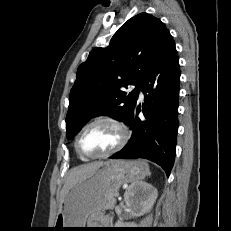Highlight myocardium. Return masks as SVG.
Here are the masks:
<instances>
[{
  "label": "myocardium",
  "mask_w": 231,
  "mask_h": 231,
  "mask_svg": "<svg viewBox=\"0 0 231 231\" xmlns=\"http://www.w3.org/2000/svg\"><path fill=\"white\" fill-rule=\"evenodd\" d=\"M97 123H110L112 125H114L119 133H120V139L118 141V143L109 151L104 152L102 154H98V155H86L84 154L81 149H80V138L83 134V132L90 126L97 124ZM129 139V131L127 129V127L124 125L123 122H121L119 119L114 118V117H109V116H102V117H98L95 118L93 120H91L90 122H88L87 124H85L81 130L78 132L76 138H75V150L77 152V154L79 155V157L89 160V159H99V158H105L108 156H111L117 152H119L128 142Z\"/></svg>",
  "instance_id": "myocardium-1"
}]
</instances>
